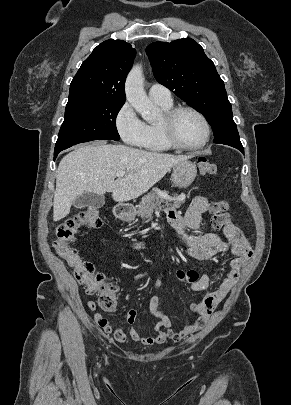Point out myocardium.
Instances as JSON below:
<instances>
[{
  "label": "myocardium",
  "mask_w": 291,
  "mask_h": 405,
  "mask_svg": "<svg viewBox=\"0 0 291 405\" xmlns=\"http://www.w3.org/2000/svg\"><path fill=\"white\" fill-rule=\"evenodd\" d=\"M185 111L192 112L195 115H197L204 124L205 131H206L205 139L203 140L202 143H200L198 145L189 146V145L183 144L177 137L176 122H177L179 115ZM160 123H161V128H162V132H163L165 140L171 147H173L175 149L184 150V151H197V150L204 148L211 139L212 129H211V125H210L207 117L200 110H198L197 108L192 107V106L183 105V106L172 107L170 110L166 111L163 114V116L160 120Z\"/></svg>",
  "instance_id": "1"
}]
</instances>
